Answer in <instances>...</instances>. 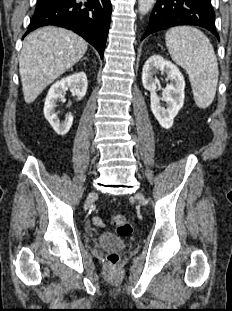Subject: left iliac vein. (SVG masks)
Returning a JSON list of instances; mask_svg holds the SVG:
<instances>
[{
  "instance_id": "obj_1",
  "label": "left iliac vein",
  "mask_w": 232,
  "mask_h": 311,
  "mask_svg": "<svg viewBox=\"0 0 232 311\" xmlns=\"http://www.w3.org/2000/svg\"><path fill=\"white\" fill-rule=\"evenodd\" d=\"M136 198H137V200L141 203V204H145V198H144V195H143V193L142 192H138L137 194H136Z\"/></svg>"
}]
</instances>
